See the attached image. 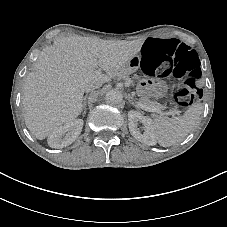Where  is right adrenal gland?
<instances>
[{
	"instance_id": "right-adrenal-gland-1",
	"label": "right adrenal gland",
	"mask_w": 227,
	"mask_h": 227,
	"mask_svg": "<svg viewBox=\"0 0 227 227\" xmlns=\"http://www.w3.org/2000/svg\"><path fill=\"white\" fill-rule=\"evenodd\" d=\"M86 100H87V97L85 96V97H84V101H83V109H84L83 117H84L85 114H86Z\"/></svg>"
}]
</instances>
